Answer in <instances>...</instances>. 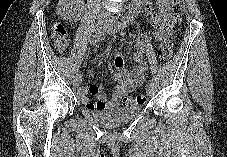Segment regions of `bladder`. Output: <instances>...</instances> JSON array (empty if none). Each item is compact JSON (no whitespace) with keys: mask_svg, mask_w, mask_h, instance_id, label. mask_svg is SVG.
<instances>
[{"mask_svg":"<svg viewBox=\"0 0 227 157\" xmlns=\"http://www.w3.org/2000/svg\"><path fill=\"white\" fill-rule=\"evenodd\" d=\"M141 109L136 106H114L104 109L90 110L91 115L107 126H116L127 123L137 117Z\"/></svg>","mask_w":227,"mask_h":157,"instance_id":"1","label":"bladder"}]
</instances>
